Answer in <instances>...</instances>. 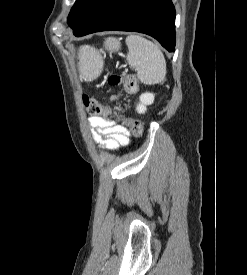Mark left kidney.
<instances>
[{
    "label": "left kidney",
    "instance_id": "5707ae66",
    "mask_svg": "<svg viewBox=\"0 0 247 275\" xmlns=\"http://www.w3.org/2000/svg\"><path fill=\"white\" fill-rule=\"evenodd\" d=\"M154 102V94L152 93H143L140 96V103L137 105L136 110L138 113L143 114L146 112L147 105H151Z\"/></svg>",
    "mask_w": 247,
    "mask_h": 275
}]
</instances>
